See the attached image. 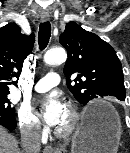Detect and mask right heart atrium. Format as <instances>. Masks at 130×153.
<instances>
[{
	"label": "right heart atrium",
	"instance_id": "right-heart-atrium-1",
	"mask_svg": "<svg viewBox=\"0 0 130 153\" xmlns=\"http://www.w3.org/2000/svg\"><path fill=\"white\" fill-rule=\"evenodd\" d=\"M18 123L21 133L29 138H39L43 128L40 120L28 108L22 107L18 111Z\"/></svg>",
	"mask_w": 130,
	"mask_h": 153
}]
</instances>
